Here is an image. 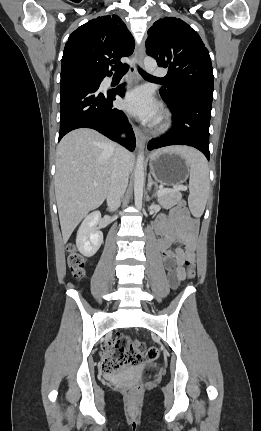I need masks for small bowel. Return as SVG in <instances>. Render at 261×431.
Here are the masks:
<instances>
[{"label": "small bowel", "mask_w": 261, "mask_h": 431, "mask_svg": "<svg viewBox=\"0 0 261 431\" xmlns=\"http://www.w3.org/2000/svg\"><path fill=\"white\" fill-rule=\"evenodd\" d=\"M154 230L160 236L156 248L163 256L171 284L177 286L186 277L184 263L194 258L197 222L186 209L176 206L168 216L157 217ZM179 244H184L185 249L179 247ZM148 348L145 343L139 346L142 353Z\"/></svg>", "instance_id": "small-bowel-1"}]
</instances>
